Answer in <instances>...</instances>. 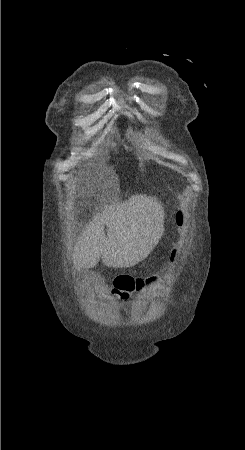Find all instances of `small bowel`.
<instances>
[{"instance_id": "1", "label": "small bowel", "mask_w": 245, "mask_h": 450, "mask_svg": "<svg viewBox=\"0 0 245 450\" xmlns=\"http://www.w3.org/2000/svg\"><path fill=\"white\" fill-rule=\"evenodd\" d=\"M124 277H127V275L123 276V278ZM157 280H158V278L156 276H152V277L146 279L145 287L146 288L154 287L157 283ZM111 296L114 298L115 304L120 305V304L125 303L128 300H130L132 298V293L129 291H126V290H119V289L113 288L111 290Z\"/></svg>"}]
</instances>
